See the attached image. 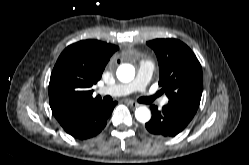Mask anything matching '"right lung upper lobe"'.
<instances>
[{"instance_id":"1","label":"right lung upper lobe","mask_w":249,"mask_h":165,"mask_svg":"<svg viewBox=\"0 0 249 165\" xmlns=\"http://www.w3.org/2000/svg\"><path fill=\"white\" fill-rule=\"evenodd\" d=\"M117 46L98 40H83L68 46L59 56L49 83L52 113L63 122L77 111L101 101L90 89L101 78Z\"/></svg>"}]
</instances>
